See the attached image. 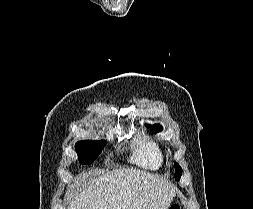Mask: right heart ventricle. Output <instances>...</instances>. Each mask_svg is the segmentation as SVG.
Returning a JSON list of instances; mask_svg holds the SVG:
<instances>
[{
    "mask_svg": "<svg viewBox=\"0 0 253 209\" xmlns=\"http://www.w3.org/2000/svg\"><path fill=\"white\" fill-rule=\"evenodd\" d=\"M163 152L159 143L144 135L136 136L133 141V161L139 166L157 169L163 163Z\"/></svg>",
    "mask_w": 253,
    "mask_h": 209,
    "instance_id": "e07e8e85",
    "label": "right heart ventricle"
}]
</instances>
